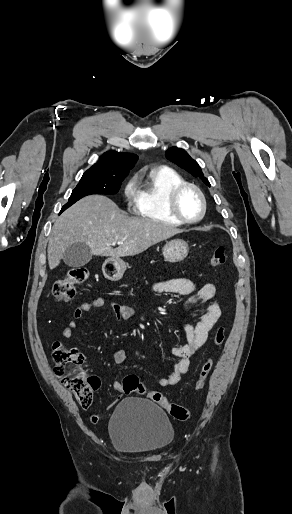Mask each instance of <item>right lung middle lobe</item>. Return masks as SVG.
Listing matches in <instances>:
<instances>
[{
    "mask_svg": "<svg viewBox=\"0 0 292 514\" xmlns=\"http://www.w3.org/2000/svg\"><path fill=\"white\" fill-rule=\"evenodd\" d=\"M124 178H99L82 176L76 188L72 191L67 204L62 207V211L74 204L84 196L92 194H116L119 191L121 182Z\"/></svg>",
    "mask_w": 292,
    "mask_h": 514,
    "instance_id": "right-lung-middle-lobe-1",
    "label": "right lung middle lobe"
}]
</instances>
